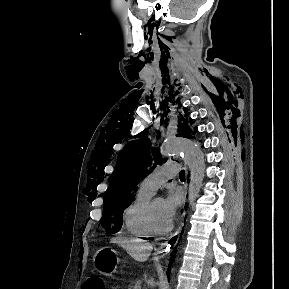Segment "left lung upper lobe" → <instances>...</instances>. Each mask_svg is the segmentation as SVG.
I'll use <instances>...</instances> for the list:
<instances>
[{
  "mask_svg": "<svg viewBox=\"0 0 289 289\" xmlns=\"http://www.w3.org/2000/svg\"><path fill=\"white\" fill-rule=\"evenodd\" d=\"M190 132L187 123L179 124L177 136L192 138ZM117 160L110 185L104 196V212L100 220L107 233H115L121 229L123 211L131 204L139 181L150 173L147 167L153 165L154 169L163 162L159 149L151 148L147 137L129 142L120 152Z\"/></svg>",
  "mask_w": 289,
  "mask_h": 289,
  "instance_id": "5c2ea615",
  "label": "left lung upper lobe"
}]
</instances>
